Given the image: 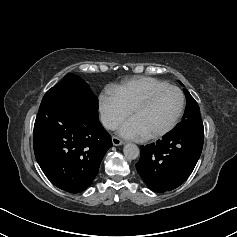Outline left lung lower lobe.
<instances>
[{"label":"left lung lower lobe","mask_w":237,"mask_h":237,"mask_svg":"<svg viewBox=\"0 0 237 237\" xmlns=\"http://www.w3.org/2000/svg\"><path fill=\"white\" fill-rule=\"evenodd\" d=\"M204 131L167 134L162 140L141 147L137 171L155 192L171 191L192 173L201 155Z\"/></svg>","instance_id":"left-lung-lower-lobe-1"}]
</instances>
